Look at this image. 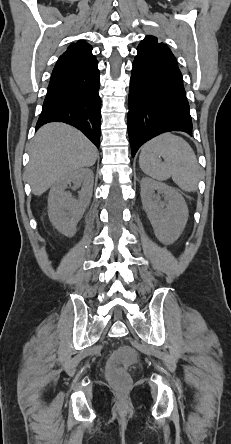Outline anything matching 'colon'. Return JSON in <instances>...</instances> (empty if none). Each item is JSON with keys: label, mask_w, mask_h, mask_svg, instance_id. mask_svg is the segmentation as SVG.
I'll use <instances>...</instances> for the list:
<instances>
[{"label": "colon", "mask_w": 231, "mask_h": 444, "mask_svg": "<svg viewBox=\"0 0 231 444\" xmlns=\"http://www.w3.org/2000/svg\"><path fill=\"white\" fill-rule=\"evenodd\" d=\"M134 359L135 353L129 346L120 347L111 355L107 364V377L115 387L124 389L129 386L127 368Z\"/></svg>", "instance_id": "5ec220e1"}]
</instances>
